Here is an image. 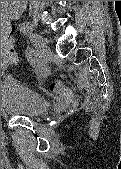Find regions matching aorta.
Listing matches in <instances>:
<instances>
[{"label": "aorta", "instance_id": "1", "mask_svg": "<svg viewBox=\"0 0 121 169\" xmlns=\"http://www.w3.org/2000/svg\"><path fill=\"white\" fill-rule=\"evenodd\" d=\"M27 2L28 1H2L1 8L4 11L18 15L26 8Z\"/></svg>", "mask_w": 121, "mask_h": 169}]
</instances>
